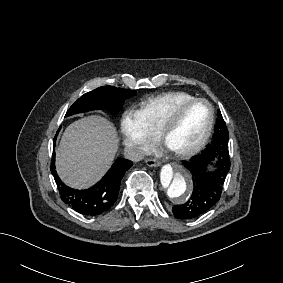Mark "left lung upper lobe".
<instances>
[{"instance_id": "left-lung-upper-lobe-1", "label": "left lung upper lobe", "mask_w": 283, "mask_h": 283, "mask_svg": "<svg viewBox=\"0 0 283 283\" xmlns=\"http://www.w3.org/2000/svg\"><path fill=\"white\" fill-rule=\"evenodd\" d=\"M218 114H221V112L218 110Z\"/></svg>"}]
</instances>
